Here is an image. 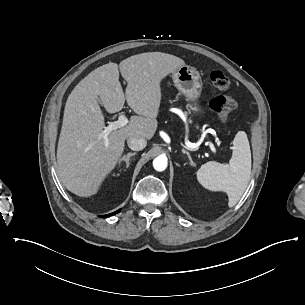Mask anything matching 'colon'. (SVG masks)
Returning <instances> with one entry per match:
<instances>
[{"mask_svg":"<svg viewBox=\"0 0 305 305\" xmlns=\"http://www.w3.org/2000/svg\"><path fill=\"white\" fill-rule=\"evenodd\" d=\"M210 80L213 86L216 89L224 92V94L214 96L209 101V106L218 115L219 121L223 125H228L230 113L236 107V103L234 102V100L225 93L229 88L230 79L222 71H213L210 74Z\"/></svg>","mask_w":305,"mask_h":305,"instance_id":"1","label":"colon"}]
</instances>
